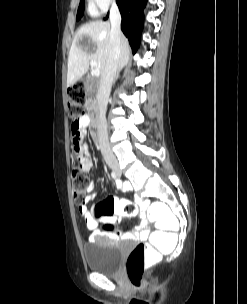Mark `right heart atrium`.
<instances>
[{"label":"right heart atrium","mask_w":247,"mask_h":304,"mask_svg":"<svg viewBox=\"0 0 247 304\" xmlns=\"http://www.w3.org/2000/svg\"><path fill=\"white\" fill-rule=\"evenodd\" d=\"M115 0H90L91 7L99 12H105Z\"/></svg>","instance_id":"right-heart-atrium-1"}]
</instances>
